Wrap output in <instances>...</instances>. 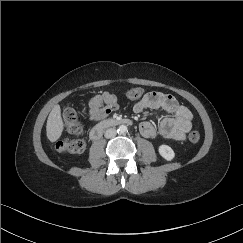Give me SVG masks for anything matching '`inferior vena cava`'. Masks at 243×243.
I'll return each instance as SVG.
<instances>
[{"mask_svg": "<svg viewBox=\"0 0 243 243\" xmlns=\"http://www.w3.org/2000/svg\"><path fill=\"white\" fill-rule=\"evenodd\" d=\"M116 135H117V131H116L115 128H109V129H107L105 131V134H104L105 138H107V139L113 138Z\"/></svg>", "mask_w": 243, "mask_h": 243, "instance_id": "inferior-vena-cava-1", "label": "inferior vena cava"}]
</instances>
